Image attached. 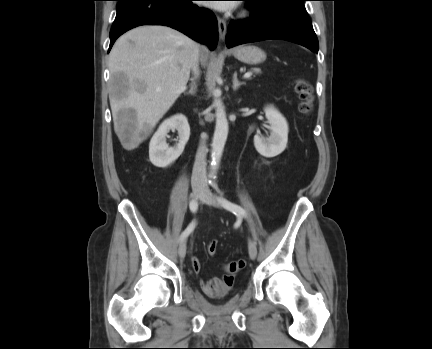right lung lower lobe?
<instances>
[{
  "label": "right lung lower lobe",
  "instance_id": "right-lung-lower-lobe-1",
  "mask_svg": "<svg viewBox=\"0 0 432 349\" xmlns=\"http://www.w3.org/2000/svg\"><path fill=\"white\" fill-rule=\"evenodd\" d=\"M116 18L110 31L109 51L116 39L141 25L172 27L215 49L218 26L215 16L196 6L194 0H118Z\"/></svg>",
  "mask_w": 432,
  "mask_h": 349
}]
</instances>
